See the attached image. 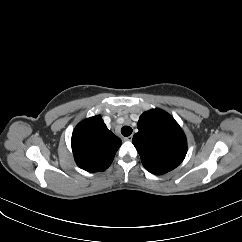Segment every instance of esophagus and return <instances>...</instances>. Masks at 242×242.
<instances>
[{
    "label": "esophagus",
    "instance_id": "1",
    "mask_svg": "<svg viewBox=\"0 0 242 242\" xmlns=\"http://www.w3.org/2000/svg\"><path fill=\"white\" fill-rule=\"evenodd\" d=\"M132 138H133V136H132V135H130V136L126 137L124 140H126V141H131V140H132Z\"/></svg>",
    "mask_w": 242,
    "mask_h": 242
}]
</instances>
